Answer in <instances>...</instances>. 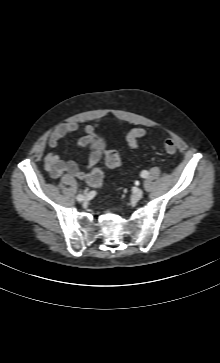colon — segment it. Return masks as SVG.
<instances>
[{
  "label": "colon",
  "mask_w": 220,
  "mask_h": 363,
  "mask_svg": "<svg viewBox=\"0 0 220 363\" xmlns=\"http://www.w3.org/2000/svg\"><path fill=\"white\" fill-rule=\"evenodd\" d=\"M146 132L142 128L132 129L127 135V143L130 147L136 148L138 140L145 136ZM164 148L168 153H175L177 150V143L172 138H167L164 141ZM105 164L110 168H118L121 165V159L117 151L107 150L103 155ZM103 182V171L100 168H95L88 176V183L91 187H99Z\"/></svg>",
  "instance_id": "colon-1"
}]
</instances>
